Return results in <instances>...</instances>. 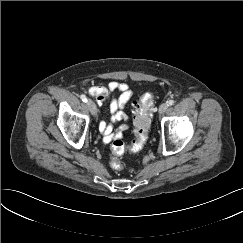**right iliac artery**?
<instances>
[{
	"label": "right iliac artery",
	"instance_id": "82829eb1",
	"mask_svg": "<svg viewBox=\"0 0 243 243\" xmlns=\"http://www.w3.org/2000/svg\"><path fill=\"white\" fill-rule=\"evenodd\" d=\"M80 98L83 102H87V97L85 95L82 94Z\"/></svg>",
	"mask_w": 243,
	"mask_h": 243
}]
</instances>
